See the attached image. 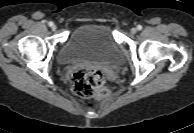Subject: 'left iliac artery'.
<instances>
[{
	"label": "left iliac artery",
	"mask_w": 194,
	"mask_h": 133,
	"mask_svg": "<svg viewBox=\"0 0 194 133\" xmlns=\"http://www.w3.org/2000/svg\"><path fill=\"white\" fill-rule=\"evenodd\" d=\"M137 29H138V30H141V29H142V26H141V25H138V26H137Z\"/></svg>",
	"instance_id": "1"
}]
</instances>
